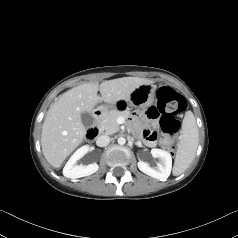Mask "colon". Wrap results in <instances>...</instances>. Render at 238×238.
Wrapping results in <instances>:
<instances>
[{
  "mask_svg": "<svg viewBox=\"0 0 238 238\" xmlns=\"http://www.w3.org/2000/svg\"><path fill=\"white\" fill-rule=\"evenodd\" d=\"M156 96V106L161 111L159 122L163 132L160 144L164 149L173 152V136L180 128L176 116L186 109L187 103L182 95L169 86L159 88Z\"/></svg>",
  "mask_w": 238,
  "mask_h": 238,
  "instance_id": "colon-1",
  "label": "colon"
}]
</instances>
